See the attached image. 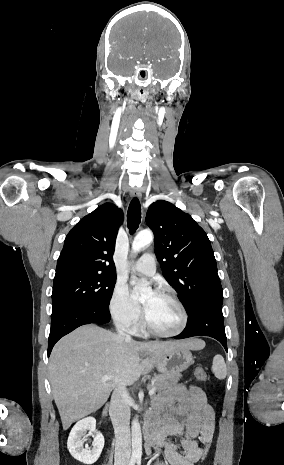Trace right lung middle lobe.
<instances>
[{
  "instance_id": "1",
  "label": "right lung middle lobe",
  "mask_w": 284,
  "mask_h": 465,
  "mask_svg": "<svg viewBox=\"0 0 284 465\" xmlns=\"http://www.w3.org/2000/svg\"><path fill=\"white\" fill-rule=\"evenodd\" d=\"M116 276L73 274L54 279L52 314L73 304L108 307Z\"/></svg>"
}]
</instances>
